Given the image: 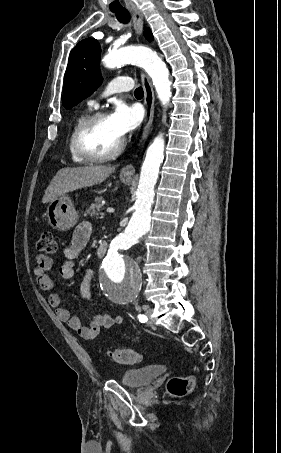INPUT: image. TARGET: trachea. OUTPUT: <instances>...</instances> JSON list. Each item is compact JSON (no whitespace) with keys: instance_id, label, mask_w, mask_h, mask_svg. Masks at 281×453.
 <instances>
[{"instance_id":"3493384b","label":"trachea","mask_w":281,"mask_h":453,"mask_svg":"<svg viewBox=\"0 0 281 453\" xmlns=\"http://www.w3.org/2000/svg\"><path fill=\"white\" fill-rule=\"evenodd\" d=\"M115 15H116L117 20L119 22H121V23H128L130 21V18H131L129 12L115 13ZM134 95L136 97H143L144 92H143L142 87L136 88V90L134 92Z\"/></svg>"}]
</instances>
